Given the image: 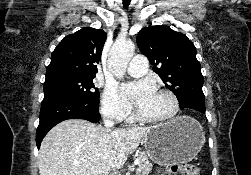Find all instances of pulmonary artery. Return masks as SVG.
Listing matches in <instances>:
<instances>
[{"label": "pulmonary artery", "instance_id": "1", "mask_svg": "<svg viewBox=\"0 0 251 175\" xmlns=\"http://www.w3.org/2000/svg\"><path fill=\"white\" fill-rule=\"evenodd\" d=\"M147 67V58L143 55H134L133 62L127 67V72L132 76H146Z\"/></svg>", "mask_w": 251, "mask_h": 175}]
</instances>
